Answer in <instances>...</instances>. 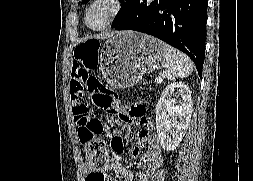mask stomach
<instances>
[{
	"label": "stomach",
	"mask_w": 253,
	"mask_h": 181,
	"mask_svg": "<svg viewBox=\"0 0 253 181\" xmlns=\"http://www.w3.org/2000/svg\"><path fill=\"white\" fill-rule=\"evenodd\" d=\"M164 64V43L134 31L118 32L106 40L100 51V69L107 85L127 88L145 73Z\"/></svg>",
	"instance_id": "stomach-1"
}]
</instances>
